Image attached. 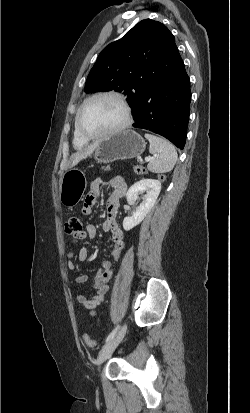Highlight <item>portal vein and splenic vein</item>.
<instances>
[{
	"mask_svg": "<svg viewBox=\"0 0 250 413\" xmlns=\"http://www.w3.org/2000/svg\"><path fill=\"white\" fill-rule=\"evenodd\" d=\"M151 159H152L151 157H146V158H145V161L148 162V161H150Z\"/></svg>",
	"mask_w": 250,
	"mask_h": 413,
	"instance_id": "obj_1",
	"label": "portal vein and splenic vein"
}]
</instances>
